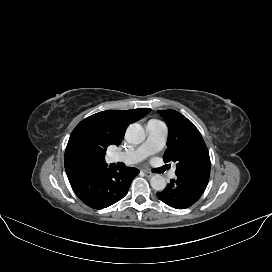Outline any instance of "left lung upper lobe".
<instances>
[{"label":"left lung upper lobe","instance_id":"left-lung-upper-lobe-1","mask_svg":"<svg viewBox=\"0 0 272 272\" xmlns=\"http://www.w3.org/2000/svg\"><path fill=\"white\" fill-rule=\"evenodd\" d=\"M168 126L165 162L177 163L176 175L210 172L207 146L195 125L175 110H158Z\"/></svg>","mask_w":272,"mask_h":272}]
</instances>
